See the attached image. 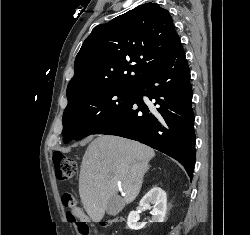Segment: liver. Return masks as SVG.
I'll return each instance as SVG.
<instances>
[{"label":"liver","mask_w":250,"mask_h":235,"mask_svg":"<svg viewBox=\"0 0 250 235\" xmlns=\"http://www.w3.org/2000/svg\"><path fill=\"white\" fill-rule=\"evenodd\" d=\"M154 156L152 148L113 135H100L89 144L81 164L79 194L93 222L102 220L109 199L117 197L119 187L124 192L120 198L124 205L138 196Z\"/></svg>","instance_id":"6515ba94"}]
</instances>
